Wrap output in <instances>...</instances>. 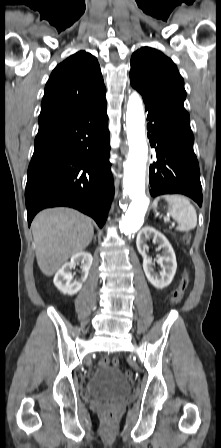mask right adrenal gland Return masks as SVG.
<instances>
[{"label": "right adrenal gland", "mask_w": 221, "mask_h": 448, "mask_svg": "<svg viewBox=\"0 0 221 448\" xmlns=\"http://www.w3.org/2000/svg\"><path fill=\"white\" fill-rule=\"evenodd\" d=\"M93 241H94V242L96 241V235H94V237H93Z\"/></svg>", "instance_id": "2a0ac1e0"}]
</instances>
